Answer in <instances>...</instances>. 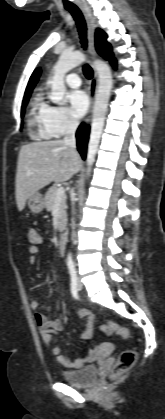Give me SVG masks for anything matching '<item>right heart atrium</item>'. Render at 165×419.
Listing matches in <instances>:
<instances>
[{"mask_svg":"<svg viewBox=\"0 0 165 419\" xmlns=\"http://www.w3.org/2000/svg\"><path fill=\"white\" fill-rule=\"evenodd\" d=\"M46 123L52 137H61L73 131L78 120L65 107L47 105Z\"/></svg>","mask_w":165,"mask_h":419,"instance_id":"obj_1","label":"right heart atrium"}]
</instances>
